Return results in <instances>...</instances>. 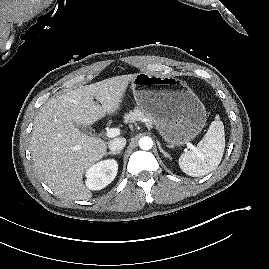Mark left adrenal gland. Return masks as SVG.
<instances>
[{
    "mask_svg": "<svg viewBox=\"0 0 269 269\" xmlns=\"http://www.w3.org/2000/svg\"><path fill=\"white\" fill-rule=\"evenodd\" d=\"M157 144H158V148H159L160 152H161L165 157L170 158L169 154H167V153L161 148L160 143L157 142Z\"/></svg>",
    "mask_w": 269,
    "mask_h": 269,
    "instance_id": "1",
    "label": "left adrenal gland"
}]
</instances>
